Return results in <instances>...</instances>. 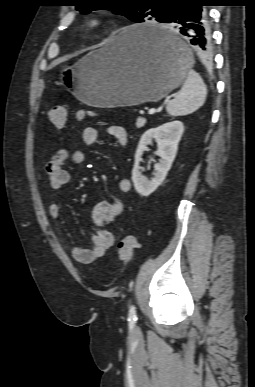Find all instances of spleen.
I'll list each match as a JSON object with an SVG mask.
<instances>
[{
  "label": "spleen",
  "instance_id": "spleen-1",
  "mask_svg": "<svg viewBox=\"0 0 255 387\" xmlns=\"http://www.w3.org/2000/svg\"><path fill=\"white\" fill-rule=\"evenodd\" d=\"M207 88L200 75L193 69L188 70L187 78L177 96L166 105L171 116H184L195 112L206 100Z\"/></svg>",
  "mask_w": 255,
  "mask_h": 387
}]
</instances>
